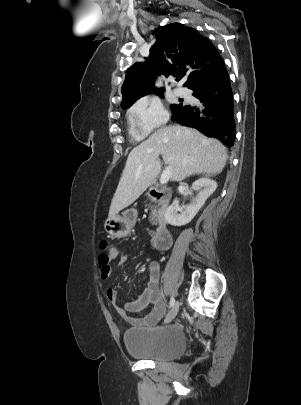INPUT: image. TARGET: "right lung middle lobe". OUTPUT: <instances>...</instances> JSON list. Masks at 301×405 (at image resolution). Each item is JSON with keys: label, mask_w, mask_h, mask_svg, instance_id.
Masks as SVG:
<instances>
[{"label": "right lung middle lobe", "mask_w": 301, "mask_h": 405, "mask_svg": "<svg viewBox=\"0 0 301 405\" xmlns=\"http://www.w3.org/2000/svg\"><path fill=\"white\" fill-rule=\"evenodd\" d=\"M159 95H160V97H163V94H162V93H160ZM183 105H184V104H182V103H180V104H178V105H171L172 112L175 111L176 109L180 108V107L183 106Z\"/></svg>", "instance_id": "right-lung-middle-lobe-1"}]
</instances>
